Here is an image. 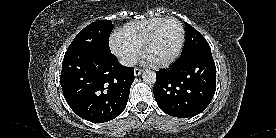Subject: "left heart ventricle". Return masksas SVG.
I'll return each instance as SVG.
<instances>
[{"label": "left heart ventricle", "mask_w": 276, "mask_h": 138, "mask_svg": "<svg viewBox=\"0 0 276 138\" xmlns=\"http://www.w3.org/2000/svg\"><path fill=\"white\" fill-rule=\"evenodd\" d=\"M180 37L181 30L176 22L164 23L147 52V59L151 62H160L170 58L177 49Z\"/></svg>", "instance_id": "1"}]
</instances>
